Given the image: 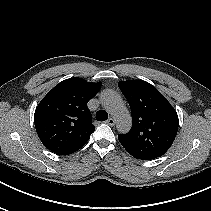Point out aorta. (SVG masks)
Returning a JSON list of instances; mask_svg holds the SVG:
<instances>
[{"label":"aorta","instance_id":"762f6f07","mask_svg":"<svg viewBox=\"0 0 211 211\" xmlns=\"http://www.w3.org/2000/svg\"><path fill=\"white\" fill-rule=\"evenodd\" d=\"M100 101L102 106L113 116L117 130L120 133H127L131 128L132 119L122 99L115 92L106 90L101 93Z\"/></svg>","mask_w":211,"mask_h":211}]
</instances>
